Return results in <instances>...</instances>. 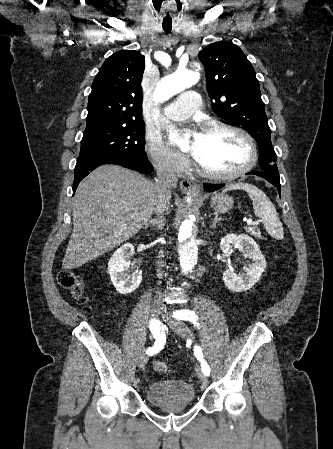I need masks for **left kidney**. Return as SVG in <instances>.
<instances>
[{"label": "left kidney", "mask_w": 333, "mask_h": 449, "mask_svg": "<svg viewBox=\"0 0 333 449\" xmlns=\"http://www.w3.org/2000/svg\"><path fill=\"white\" fill-rule=\"evenodd\" d=\"M220 247L225 254H231L234 248H237L245 257L252 260V263L244 268V275H237L233 267H229L223 273L226 287L234 292L252 288L266 267V260L254 239L246 234H227L221 239Z\"/></svg>", "instance_id": "obj_1"}]
</instances>
